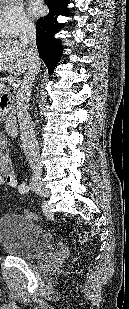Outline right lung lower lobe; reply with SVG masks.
Instances as JSON below:
<instances>
[{
    "label": "right lung lower lobe",
    "instance_id": "obj_1",
    "mask_svg": "<svg viewBox=\"0 0 129 309\" xmlns=\"http://www.w3.org/2000/svg\"><path fill=\"white\" fill-rule=\"evenodd\" d=\"M49 7V13L40 18L36 24V43L40 57L47 65L51 74L62 55V45L55 34L62 29L63 24L58 23L59 15H67L68 0H44Z\"/></svg>",
    "mask_w": 129,
    "mask_h": 309
}]
</instances>
